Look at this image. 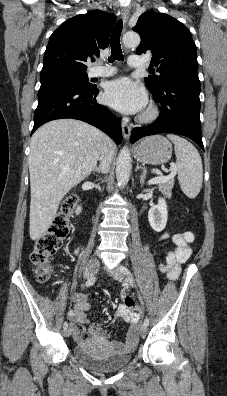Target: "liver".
<instances>
[{
  "label": "liver",
  "instance_id": "obj_1",
  "mask_svg": "<svg viewBox=\"0 0 227 396\" xmlns=\"http://www.w3.org/2000/svg\"><path fill=\"white\" fill-rule=\"evenodd\" d=\"M105 144L113 155L115 146L103 132L75 119L53 120L36 130L28 160L32 240L46 233L61 200L93 171Z\"/></svg>",
  "mask_w": 227,
  "mask_h": 396
}]
</instances>
